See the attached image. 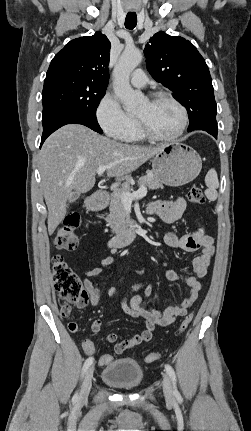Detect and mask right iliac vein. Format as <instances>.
I'll list each match as a JSON object with an SVG mask.
<instances>
[{"label":"right iliac vein","mask_w":251,"mask_h":431,"mask_svg":"<svg viewBox=\"0 0 251 431\" xmlns=\"http://www.w3.org/2000/svg\"><path fill=\"white\" fill-rule=\"evenodd\" d=\"M93 371H94V368L90 367L89 370L87 371L85 377H84L81 392L79 395V401L80 402H84L88 398L89 392H90L91 387H92Z\"/></svg>","instance_id":"obj_1"}]
</instances>
